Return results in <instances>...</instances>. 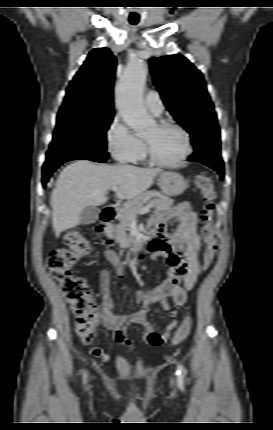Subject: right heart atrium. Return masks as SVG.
I'll list each match as a JSON object with an SVG mask.
<instances>
[{
	"label": "right heart atrium",
	"instance_id": "right-heart-atrium-1",
	"mask_svg": "<svg viewBox=\"0 0 273 430\" xmlns=\"http://www.w3.org/2000/svg\"><path fill=\"white\" fill-rule=\"evenodd\" d=\"M109 152L118 162L129 163L144 149L143 141L132 132L119 115H116L106 131Z\"/></svg>",
	"mask_w": 273,
	"mask_h": 430
}]
</instances>
